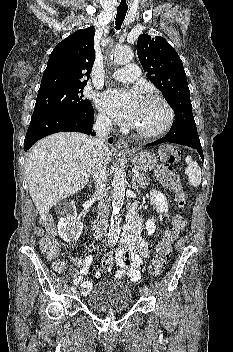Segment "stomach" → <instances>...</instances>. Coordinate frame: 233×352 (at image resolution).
Listing matches in <instances>:
<instances>
[{
  "mask_svg": "<svg viewBox=\"0 0 233 352\" xmlns=\"http://www.w3.org/2000/svg\"><path fill=\"white\" fill-rule=\"evenodd\" d=\"M128 154L133 166L140 171H150L158 162L157 157L146 150L128 151Z\"/></svg>",
  "mask_w": 233,
  "mask_h": 352,
  "instance_id": "stomach-1",
  "label": "stomach"
}]
</instances>
